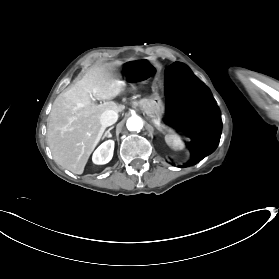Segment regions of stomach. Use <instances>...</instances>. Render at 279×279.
Instances as JSON below:
<instances>
[{
	"instance_id": "obj_1",
	"label": "stomach",
	"mask_w": 279,
	"mask_h": 279,
	"mask_svg": "<svg viewBox=\"0 0 279 279\" xmlns=\"http://www.w3.org/2000/svg\"><path fill=\"white\" fill-rule=\"evenodd\" d=\"M147 112L155 115L152 117L154 125L156 126L158 121L166 132H173L179 126V119L174 110L170 107L169 102L162 97L153 98L149 103Z\"/></svg>"
}]
</instances>
